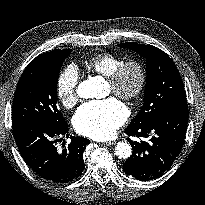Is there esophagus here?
I'll return each instance as SVG.
<instances>
[{
    "mask_svg": "<svg viewBox=\"0 0 205 205\" xmlns=\"http://www.w3.org/2000/svg\"><path fill=\"white\" fill-rule=\"evenodd\" d=\"M114 144H116L115 141H108V142H104V143H103V145H105V146H112V145H114Z\"/></svg>",
    "mask_w": 205,
    "mask_h": 205,
    "instance_id": "esophagus-1",
    "label": "esophagus"
}]
</instances>
